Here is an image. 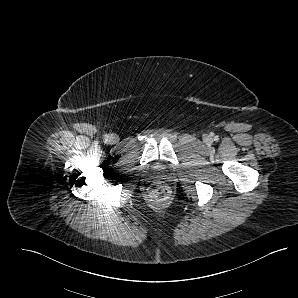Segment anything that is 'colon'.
<instances>
[{
    "instance_id": "1",
    "label": "colon",
    "mask_w": 298,
    "mask_h": 298,
    "mask_svg": "<svg viewBox=\"0 0 298 298\" xmlns=\"http://www.w3.org/2000/svg\"><path fill=\"white\" fill-rule=\"evenodd\" d=\"M170 195V189L165 182L158 181L151 185L148 190V196L152 200H165Z\"/></svg>"
}]
</instances>
